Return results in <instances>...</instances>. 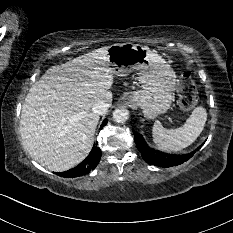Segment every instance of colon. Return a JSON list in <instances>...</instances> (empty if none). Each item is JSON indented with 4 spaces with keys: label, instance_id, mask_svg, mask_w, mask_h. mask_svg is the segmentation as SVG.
I'll use <instances>...</instances> for the list:
<instances>
[{
    "label": "colon",
    "instance_id": "obj_1",
    "mask_svg": "<svg viewBox=\"0 0 233 233\" xmlns=\"http://www.w3.org/2000/svg\"><path fill=\"white\" fill-rule=\"evenodd\" d=\"M178 98L180 106L185 110L194 108L198 102V96L194 82L189 71H183L178 81Z\"/></svg>",
    "mask_w": 233,
    "mask_h": 233
}]
</instances>
